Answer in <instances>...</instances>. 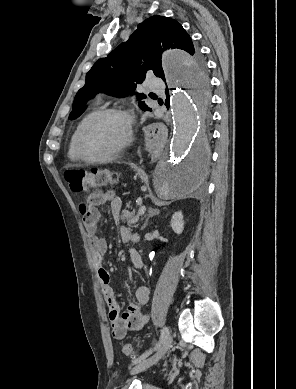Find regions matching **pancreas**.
Here are the masks:
<instances>
[{
  "label": "pancreas",
  "instance_id": "1",
  "mask_svg": "<svg viewBox=\"0 0 296 389\" xmlns=\"http://www.w3.org/2000/svg\"><path fill=\"white\" fill-rule=\"evenodd\" d=\"M121 219L123 221L127 222V225L130 227H137L138 226V221H139V215L135 213V211H128V210H123Z\"/></svg>",
  "mask_w": 296,
  "mask_h": 389
}]
</instances>
